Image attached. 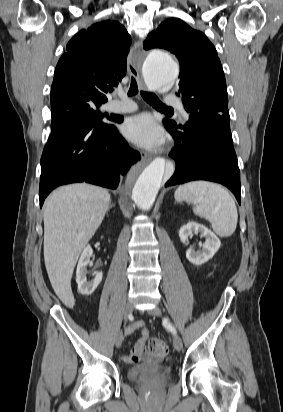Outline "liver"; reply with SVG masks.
<instances>
[{
	"label": "liver",
	"instance_id": "liver-1",
	"mask_svg": "<svg viewBox=\"0 0 283 412\" xmlns=\"http://www.w3.org/2000/svg\"><path fill=\"white\" fill-rule=\"evenodd\" d=\"M106 189L78 183L56 189L44 206V261L59 299L75 304L71 278L83 248L93 237L110 204Z\"/></svg>",
	"mask_w": 283,
	"mask_h": 412
}]
</instances>
